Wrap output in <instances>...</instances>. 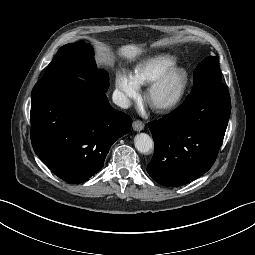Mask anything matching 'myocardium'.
Segmentation results:
<instances>
[{
	"label": "myocardium",
	"instance_id": "myocardium-1",
	"mask_svg": "<svg viewBox=\"0 0 255 255\" xmlns=\"http://www.w3.org/2000/svg\"><path fill=\"white\" fill-rule=\"evenodd\" d=\"M178 77L179 84L172 94L160 102H153V96L161 90L172 78ZM189 84V76L182 67L173 66L153 81L144 94V101L157 112H164L175 108L184 98Z\"/></svg>",
	"mask_w": 255,
	"mask_h": 255
}]
</instances>
